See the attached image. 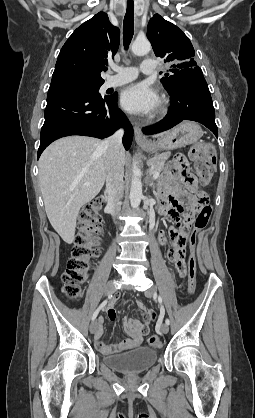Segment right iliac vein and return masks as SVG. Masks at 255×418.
<instances>
[{"label": "right iliac vein", "mask_w": 255, "mask_h": 418, "mask_svg": "<svg viewBox=\"0 0 255 418\" xmlns=\"http://www.w3.org/2000/svg\"><path fill=\"white\" fill-rule=\"evenodd\" d=\"M115 291V282L109 281L105 287V294L111 295ZM98 323L97 321H93L89 327L90 332L93 334L97 329Z\"/></svg>", "instance_id": "obj_1"}]
</instances>
